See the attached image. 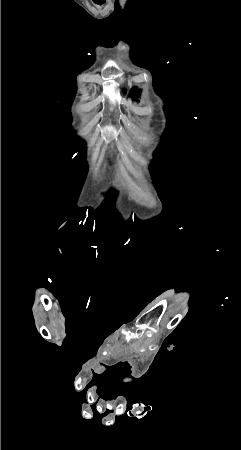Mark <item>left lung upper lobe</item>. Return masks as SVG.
Returning a JSON list of instances; mask_svg holds the SVG:
<instances>
[{
  "instance_id": "obj_1",
  "label": "left lung upper lobe",
  "mask_w": 241,
  "mask_h": 450,
  "mask_svg": "<svg viewBox=\"0 0 241 450\" xmlns=\"http://www.w3.org/2000/svg\"><path fill=\"white\" fill-rule=\"evenodd\" d=\"M131 96L134 97V98L139 97L140 96V91L138 89H136V88L133 89L131 91Z\"/></svg>"
}]
</instances>
